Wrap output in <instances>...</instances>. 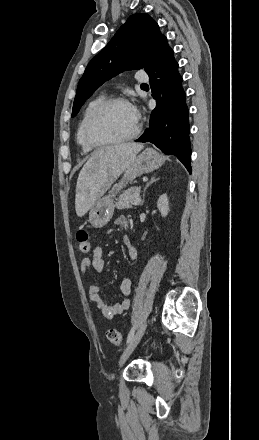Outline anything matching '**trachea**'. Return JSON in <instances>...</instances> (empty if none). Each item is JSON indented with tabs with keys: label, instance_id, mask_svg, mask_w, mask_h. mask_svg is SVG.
Wrapping results in <instances>:
<instances>
[{
	"label": "trachea",
	"instance_id": "3493384b",
	"mask_svg": "<svg viewBox=\"0 0 259 440\" xmlns=\"http://www.w3.org/2000/svg\"><path fill=\"white\" fill-rule=\"evenodd\" d=\"M142 86H146V84H142Z\"/></svg>",
	"mask_w": 259,
	"mask_h": 440
}]
</instances>
